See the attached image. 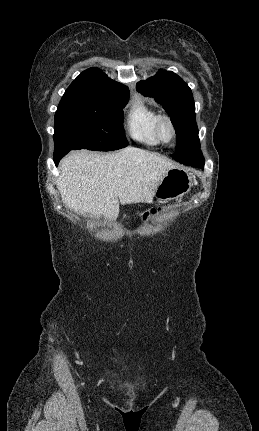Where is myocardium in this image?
Instances as JSON below:
<instances>
[{
  "label": "myocardium",
  "mask_w": 259,
  "mask_h": 431,
  "mask_svg": "<svg viewBox=\"0 0 259 431\" xmlns=\"http://www.w3.org/2000/svg\"><path fill=\"white\" fill-rule=\"evenodd\" d=\"M167 126L170 130V137L168 139H166L163 136V127ZM155 132H156V136L158 138V140L160 141V143L163 144H168L171 143L175 137H176V128L175 125L172 121V119L165 114H160L156 120V124H155Z\"/></svg>",
  "instance_id": "f54148a6"
}]
</instances>
